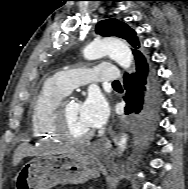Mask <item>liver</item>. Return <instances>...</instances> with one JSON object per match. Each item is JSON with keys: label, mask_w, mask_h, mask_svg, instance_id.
Returning a JSON list of instances; mask_svg holds the SVG:
<instances>
[{"label": "liver", "mask_w": 188, "mask_h": 189, "mask_svg": "<svg viewBox=\"0 0 188 189\" xmlns=\"http://www.w3.org/2000/svg\"><path fill=\"white\" fill-rule=\"evenodd\" d=\"M84 151L71 147V146H65V145H57V146H51L48 148L37 149L33 148L27 145H20L15 150L14 156H13V166H17L21 160L27 156V155H63V154H83Z\"/></svg>", "instance_id": "6515ba94"}]
</instances>
